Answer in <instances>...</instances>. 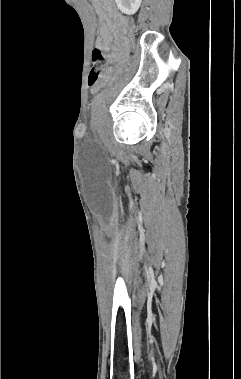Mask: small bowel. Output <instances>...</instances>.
Listing matches in <instances>:
<instances>
[{"mask_svg": "<svg viewBox=\"0 0 241 379\" xmlns=\"http://www.w3.org/2000/svg\"><path fill=\"white\" fill-rule=\"evenodd\" d=\"M94 2L99 15V32L96 44L102 49L111 51L108 62L112 63L121 56L125 44L123 34L126 30L127 19L118 14L112 7V0H94ZM114 35L120 36L118 42H114Z\"/></svg>", "mask_w": 241, "mask_h": 379, "instance_id": "1", "label": "small bowel"}]
</instances>
